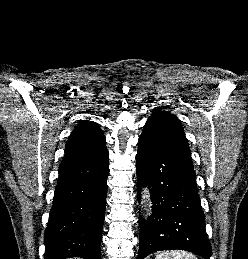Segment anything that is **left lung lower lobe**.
I'll return each instance as SVG.
<instances>
[{
  "label": "left lung lower lobe",
  "mask_w": 248,
  "mask_h": 259,
  "mask_svg": "<svg viewBox=\"0 0 248 259\" xmlns=\"http://www.w3.org/2000/svg\"><path fill=\"white\" fill-rule=\"evenodd\" d=\"M136 171L138 185L150 188L153 203L149 220L140 223L138 259L169 249L187 250L209 259L211 246L194 170L139 140Z\"/></svg>",
  "instance_id": "left-lung-lower-lobe-1"
}]
</instances>
